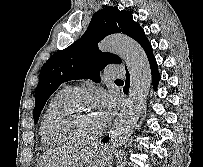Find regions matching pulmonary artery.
Listing matches in <instances>:
<instances>
[{
	"label": "pulmonary artery",
	"mask_w": 203,
	"mask_h": 167,
	"mask_svg": "<svg viewBox=\"0 0 203 167\" xmlns=\"http://www.w3.org/2000/svg\"><path fill=\"white\" fill-rule=\"evenodd\" d=\"M105 74L110 78H119V77H123L125 72L121 66L109 65L105 68Z\"/></svg>",
	"instance_id": "1"
}]
</instances>
